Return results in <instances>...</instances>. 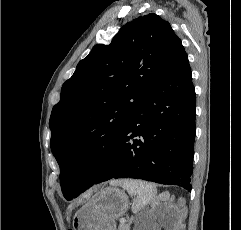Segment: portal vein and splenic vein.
<instances>
[{"mask_svg":"<svg viewBox=\"0 0 241 230\" xmlns=\"http://www.w3.org/2000/svg\"><path fill=\"white\" fill-rule=\"evenodd\" d=\"M125 223H126L125 218H121V219H120V224H125Z\"/></svg>","mask_w":241,"mask_h":230,"instance_id":"18ae733b","label":"portal vein and splenic vein"}]
</instances>
